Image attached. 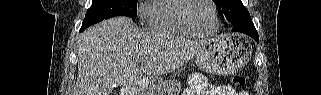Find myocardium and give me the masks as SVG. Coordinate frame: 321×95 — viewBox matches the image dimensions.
<instances>
[{"mask_svg":"<svg viewBox=\"0 0 321 95\" xmlns=\"http://www.w3.org/2000/svg\"><path fill=\"white\" fill-rule=\"evenodd\" d=\"M196 1V0H185L184 5L180 8L179 10V19L181 20V22L192 32L194 33L196 36H201V37H209L212 36L213 34H215L218 30L219 27V17H218V10L217 7L215 5V2L213 0H206L208 1V3L211 5L212 9H213V14H214V20H215V26L213 28L212 31L208 32V33H203L200 32L190 21L188 13L189 10L191 8L192 3Z\"/></svg>","mask_w":321,"mask_h":95,"instance_id":"obj_1","label":"myocardium"}]
</instances>
